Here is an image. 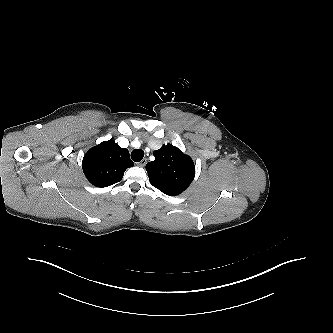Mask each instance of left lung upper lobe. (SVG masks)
Returning a JSON list of instances; mask_svg holds the SVG:
<instances>
[{"label": "left lung upper lobe", "instance_id": "obj_1", "mask_svg": "<svg viewBox=\"0 0 333 333\" xmlns=\"http://www.w3.org/2000/svg\"><path fill=\"white\" fill-rule=\"evenodd\" d=\"M153 154L155 160L146 165L150 183L170 196L179 195L186 190L195 177L191 157L171 144L163 145Z\"/></svg>", "mask_w": 333, "mask_h": 333}]
</instances>
